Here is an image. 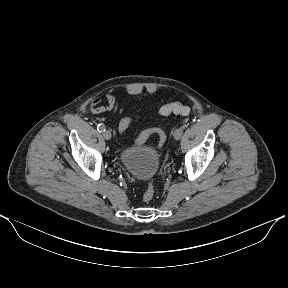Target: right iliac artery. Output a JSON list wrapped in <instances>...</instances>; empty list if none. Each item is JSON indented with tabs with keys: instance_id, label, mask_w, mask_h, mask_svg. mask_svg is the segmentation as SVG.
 Listing matches in <instances>:
<instances>
[{
	"instance_id": "1",
	"label": "right iliac artery",
	"mask_w": 288,
	"mask_h": 288,
	"mask_svg": "<svg viewBox=\"0 0 288 288\" xmlns=\"http://www.w3.org/2000/svg\"><path fill=\"white\" fill-rule=\"evenodd\" d=\"M97 130H98L99 132H104V131H105V126H104L103 124H98Z\"/></svg>"
}]
</instances>
